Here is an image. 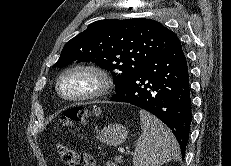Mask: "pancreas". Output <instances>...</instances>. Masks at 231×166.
<instances>
[{"mask_svg":"<svg viewBox=\"0 0 231 166\" xmlns=\"http://www.w3.org/2000/svg\"><path fill=\"white\" fill-rule=\"evenodd\" d=\"M122 159H116L115 158V163L114 162H111V161H108L106 166H118V163H121Z\"/></svg>","mask_w":231,"mask_h":166,"instance_id":"pancreas-1","label":"pancreas"}]
</instances>
